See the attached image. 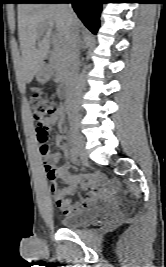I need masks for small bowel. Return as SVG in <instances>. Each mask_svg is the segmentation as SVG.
Instances as JSON below:
<instances>
[{
  "mask_svg": "<svg viewBox=\"0 0 166 267\" xmlns=\"http://www.w3.org/2000/svg\"><path fill=\"white\" fill-rule=\"evenodd\" d=\"M53 125H58L59 128H62L64 125V110L62 107H59L56 113L46 120V126L49 129ZM61 142V137L57 136L55 139V144L59 145ZM59 159V155L57 153L49 154L46 157V160L55 163ZM69 162L57 168L58 178L64 181L67 185V191L73 192L77 186H80L84 189H88L92 185L96 183H101L103 181V177L99 174H95L90 178H84L79 175H71L69 173ZM114 187L112 185L106 186L100 194L95 192H90L85 198L81 199L77 203H72L69 199H67L64 193L59 189L58 183L55 179H50V192L54 197L55 203L57 207L65 214L70 215L76 212H79L83 209L88 208L93 203L97 201L98 198L108 199L113 194Z\"/></svg>",
  "mask_w": 166,
  "mask_h": 267,
  "instance_id": "1",
  "label": "small bowel"
}]
</instances>
